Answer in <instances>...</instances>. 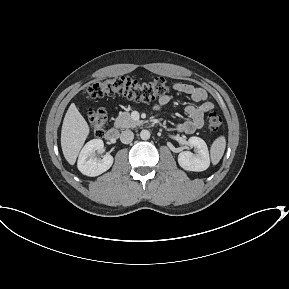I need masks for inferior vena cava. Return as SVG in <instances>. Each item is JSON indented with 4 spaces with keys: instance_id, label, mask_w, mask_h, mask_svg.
I'll return each mask as SVG.
<instances>
[{
    "instance_id": "obj_1",
    "label": "inferior vena cava",
    "mask_w": 289,
    "mask_h": 289,
    "mask_svg": "<svg viewBox=\"0 0 289 289\" xmlns=\"http://www.w3.org/2000/svg\"><path fill=\"white\" fill-rule=\"evenodd\" d=\"M134 138V134L132 131L130 130H125L122 131L121 135H120V140L122 143L124 144H129L133 141Z\"/></svg>"
}]
</instances>
